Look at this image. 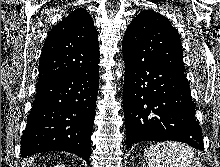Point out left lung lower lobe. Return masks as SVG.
Returning <instances> with one entry per match:
<instances>
[{
	"instance_id": "obj_1",
	"label": "left lung lower lobe",
	"mask_w": 220,
	"mask_h": 167,
	"mask_svg": "<svg viewBox=\"0 0 220 167\" xmlns=\"http://www.w3.org/2000/svg\"><path fill=\"white\" fill-rule=\"evenodd\" d=\"M123 56L127 149L139 141L174 140L203 150L202 129L184 72Z\"/></svg>"
}]
</instances>
